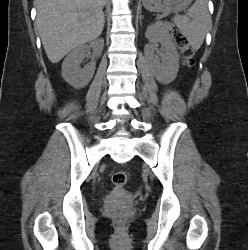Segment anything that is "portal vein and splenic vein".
<instances>
[{
    "label": "portal vein and splenic vein",
    "mask_w": 248,
    "mask_h": 250,
    "mask_svg": "<svg viewBox=\"0 0 248 250\" xmlns=\"http://www.w3.org/2000/svg\"><path fill=\"white\" fill-rule=\"evenodd\" d=\"M164 17V15L160 16V18Z\"/></svg>",
    "instance_id": "18ae733b"
}]
</instances>
